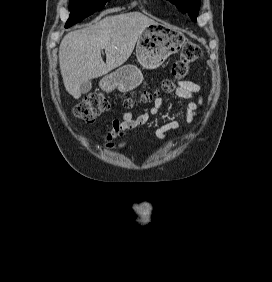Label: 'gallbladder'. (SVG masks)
<instances>
[{"instance_id": "1", "label": "gallbladder", "mask_w": 272, "mask_h": 282, "mask_svg": "<svg viewBox=\"0 0 272 282\" xmlns=\"http://www.w3.org/2000/svg\"><path fill=\"white\" fill-rule=\"evenodd\" d=\"M91 82L88 81V82H84L82 85H81V93L82 94H86L88 93L90 90H91Z\"/></svg>"}]
</instances>
